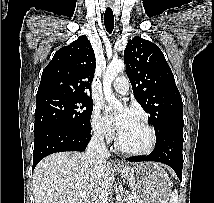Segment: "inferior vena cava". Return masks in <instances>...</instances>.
<instances>
[{
  "label": "inferior vena cava",
  "instance_id": "1",
  "mask_svg": "<svg viewBox=\"0 0 214 203\" xmlns=\"http://www.w3.org/2000/svg\"><path fill=\"white\" fill-rule=\"evenodd\" d=\"M85 156L88 162L96 167L106 163V160L109 157V152L104 142V131L102 129L93 134ZM101 174V172H97V175ZM91 203H108V191L105 186L100 185L97 188L96 195L93 196Z\"/></svg>",
  "mask_w": 214,
  "mask_h": 203
}]
</instances>
